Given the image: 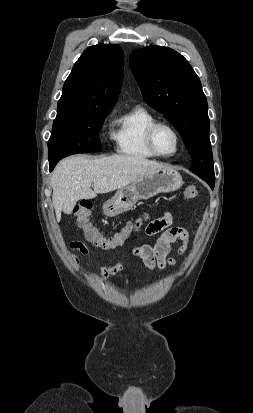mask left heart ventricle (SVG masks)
Here are the masks:
<instances>
[{
	"label": "left heart ventricle",
	"instance_id": "1",
	"mask_svg": "<svg viewBox=\"0 0 253 413\" xmlns=\"http://www.w3.org/2000/svg\"><path fill=\"white\" fill-rule=\"evenodd\" d=\"M155 145L162 154H172L176 149V138L167 127H159L155 132Z\"/></svg>",
	"mask_w": 253,
	"mask_h": 413
}]
</instances>
